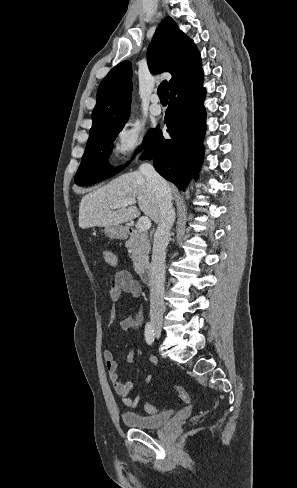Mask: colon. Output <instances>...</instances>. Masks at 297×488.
Wrapping results in <instances>:
<instances>
[{"label":"colon","instance_id":"obj_1","mask_svg":"<svg viewBox=\"0 0 297 488\" xmlns=\"http://www.w3.org/2000/svg\"><path fill=\"white\" fill-rule=\"evenodd\" d=\"M104 253V252H103ZM102 253V258L104 257V254ZM108 285H109V291H111L114 288V280L111 277H107ZM173 388L175 391L178 393L179 397L184 403H189L191 401V396L188 393V391L181 385L174 384ZM145 411L154 414L158 411V409L152 405L151 403H146L145 406Z\"/></svg>","mask_w":297,"mask_h":488}]
</instances>
